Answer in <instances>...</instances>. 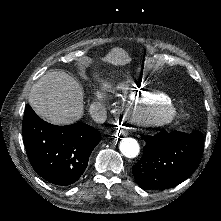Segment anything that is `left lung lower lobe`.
I'll list each match as a JSON object with an SVG mask.
<instances>
[{
  "label": "left lung lower lobe",
  "instance_id": "0a47b994",
  "mask_svg": "<svg viewBox=\"0 0 221 221\" xmlns=\"http://www.w3.org/2000/svg\"><path fill=\"white\" fill-rule=\"evenodd\" d=\"M146 145L132 171L138 185L145 189H167L187 178L198 167L203 138L200 131L186 134L162 131L154 136H142Z\"/></svg>",
  "mask_w": 221,
  "mask_h": 221
}]
</instances>
